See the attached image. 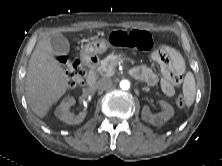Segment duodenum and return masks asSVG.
<instances>
[{"instance_id":"1","label":"duodenum","mask_w":222,"mask_h":166,"mask_svg":"<svg viewBox=\"0 0 222 166\" xmlns=\"http://www.w3.org/2000/svg\"><path fill=\"white\" fill-rule=\"evenodd\" d=\"M82 61L88 69V76L86 79V85H87V87L91 88L95 85L96 80H97L96 69L99 64V58L96 55L86 54L83 56ZM132 75H133V72H132Z\"/></svg>"}]
</instances>
